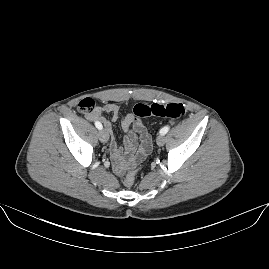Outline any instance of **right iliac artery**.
Segmentation results:
<instances>
[{
	"mask_svg": "<svg viewBox=\"0 0 269 269\" xmlns=\"http://www.w3.org/2000/svg\"><path fill=\"white\" fill-rule=\"evenodd\" d=\"M95 126H96V128H98L99 130H101L102 129V124L100 123V122H98V121H96L95 122Z\"/></svg>",
	"mask_w": 269,
	"mask_h": 269,
	"instance_id": "1",
	"label": "right iliac artery"
}]
</instances>
